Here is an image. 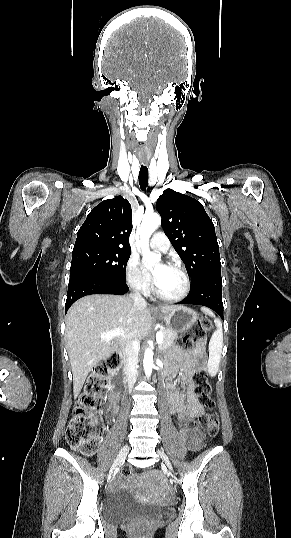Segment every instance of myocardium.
Here are the masks:
<instances>
[{
    "instance_id": "obj_1",
    "label": "myocardium",
    "mask_w": 291,
    "mask_h": 538,
    "mask_svg": "<svg viewBox=\"0 0 291 538\" xmlns=\"http://www.w3.org/2000/svg\"><path fill=\"white\" fill-rule=\"evenodd\" d=\"M167 267H170V268L178 271L182 275V277L184 279V289H183V291L180 294L176 295V296H167V295L162 294L158 290L156 285H154L153 286V293L157 298H159L160 300L166 301V302H179V301H182L190 293V290H191L190 277H189L187 271L178 263H170V264H168Z\"/></svg>"
}]
</instances>
